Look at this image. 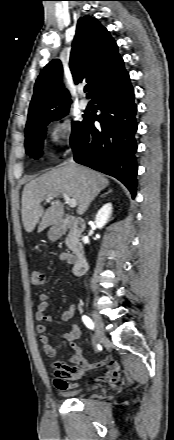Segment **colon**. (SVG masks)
Masks as SVG:
<instances>
[{
    "instance_id": "1",
    "label": "colon",
    "mask_w": 174,
    "mask_h": 440,
    "mask_svg": "<svg viewBox=\"0 0 174 440\" xmlns=\"http://www.w3.org/2000/svg\"><path fill=\"white\" fill-rule=\"evenodd\" d=\"M45 275L41 270L34 269L30 274V282L34 287L41 286L44 283Z\"/></svg>"
}]
</instances>
